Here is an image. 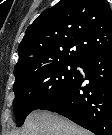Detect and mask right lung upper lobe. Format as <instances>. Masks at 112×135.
<instances>
[{"label": "right lung upper lobe", "instance_id": "right-lung-upper-lobe-1", "mask_svg": "<svg viewBox=\"0 0 112 135\" xmlns=\"http://www.w3.org/2000/svg\"><path fill=\"white\" fill-rule=\"evenodd\" d=\"M112 48V9L107 0H60L27 28L18 47L15 77L59 61L81 62Z\"/></svg>", "mask_w": 112, "mask_h": 135}]
</instances>
